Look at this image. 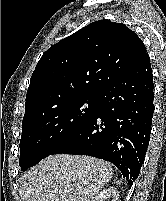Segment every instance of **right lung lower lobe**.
I'll return each mask as SVG.
<instances>
[{"instance_id":"right-lung-lower-lobe-1","label":"right lung lower lobe","mask_w":166,"mask_h":201,"mask_svg":"<svg viewBox=\"0 0 166 201\" xmlns=\"http://www.w3.org/2000/svg\"><path fill=\"white\" fill-rule=\"evenodd\" d=\"M153 88L147 53L100 92L94 114L52 154L89 155L109 161L131 187L149 144Z\"/></svg>"}]
</instances>
